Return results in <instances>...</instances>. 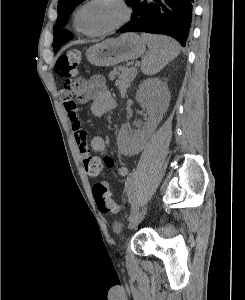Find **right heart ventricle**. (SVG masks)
<instances>
[{
	"label": "right heart ventricle",
	"instance_id": "e07e8e85",
	"mask_svg": "<svg viewBox=\"0 0 245 300\" xmlns=\"http://www.w3.org/2000/svg\"><path fill=\"white\" fill-rule=\"evenodd\" d=\"M74 24H75V27H76V29H79V28H78V26H77V24H76V21H75V23H74Z\"/></svg>",
	"mask_w": 245,
	"mask_h": 300
}]
</instances>
